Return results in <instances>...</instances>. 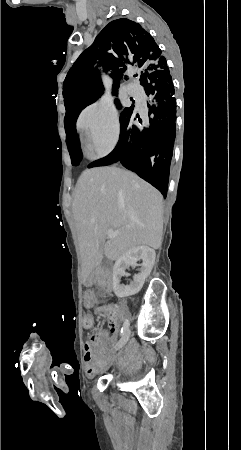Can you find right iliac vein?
<instances>
[{
  "label": "right iliac vein",
  "instance_id": "right-iliac-vein-1",
  "mask_svg": "<svg viewBox=\"0 0 241 450\" xmlns=\"http://www.w3.org/2000/svg\"><path fill=\"white\" fill-rule=\"evenodd\" d=\"M131 335V331L128 329L123 336L121 337V339L118 341L117 345H116V350L122 348L128 341L129 337Z\"/></svg>",
  "mask_w": 241,
  "mask_h": 450
}]
</instances>
